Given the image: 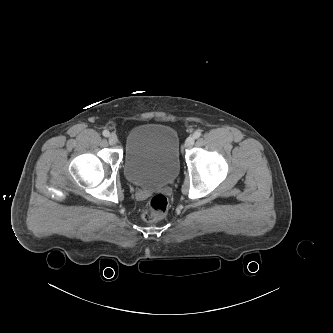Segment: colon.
<instances>
[{
	"instance_id": "1",
	"label": "colon",
	"mask_w": 333,
	"mask_h": 333,
	"mask_svg": "<svg viewBox=\"0 0 333 333\" xmlns=\"http://www.w3.org/2000/svg\"><path fill=\"white\" fill-rule=\"evenodd\" d=\"M168 212V200L164 195L158 194L151 198L147 208L142 212V218L148 222L163 219Z\"/></svg>"
}]
</instances>
